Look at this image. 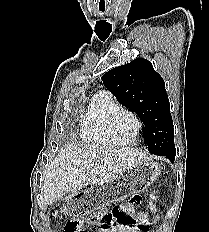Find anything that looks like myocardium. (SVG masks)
<instances>
[{
	"label": "myocardium",
	"instance_id": "1",
	"mask_svg": "<svg viewBox=\"0 0 209 232\" xmlns=\"http://www.w3.org/2000/svg\"><path fill=\"white\" fill-rule=\"evenodd\" d=\"M121 114H129L134 119V121L136 123V129L134 131V134L132 135L130 140L125 141V142L119 141L115 137L114 132H113V124H114L115 120ZM141 128H142V122H141L139 116L134 111H132L128 108H118L108 116L107 121H106L105 130H106V135L112 144L119 145V146H127V145H131L134 142V140L136 139L137 135L139 134Z\"/></svg>",
	"mask_w": 209,
	"mask_h": 232
}]
</instances>
